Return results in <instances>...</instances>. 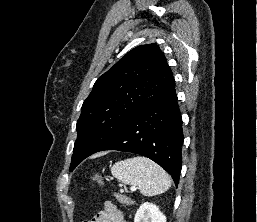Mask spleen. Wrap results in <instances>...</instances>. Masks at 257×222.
<instances>
[{"instance_id":"1","label":"spleen","mask_w":257,"mask_h":222,"mask_svg":"<svg viewBox=\"0 0 257 222\" xmlns=\"http://www.w3.org/2000/svg\"><path fill=\"white\" fill-rule=\"evenodd\" d=\"M111 172L118 181L137 186L145 196L163 193L171 187L169 175L145 157L138 156L116 162Z\"/></svg>"}]
</instances>
